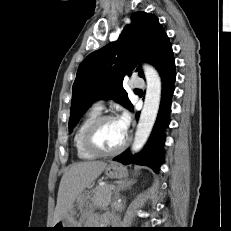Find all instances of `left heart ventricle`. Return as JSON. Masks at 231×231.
Here are the masks:
<instances>
[{"instance_id":"b2bd125f","label":"left heart ventricle","mask_w":231,"mask_h":231,"mask_svg":"<svg viewBox=\"0 0 231 231\" xmlns=\"http://www.w3.org/2000/svg\"><path fill=\"white\" fill-rule=\"evenodd\" d=\"M126 138L117 120L107 121L96 134V143L103 150H113L119 147Z\"/></svg>"}]
</instances>
